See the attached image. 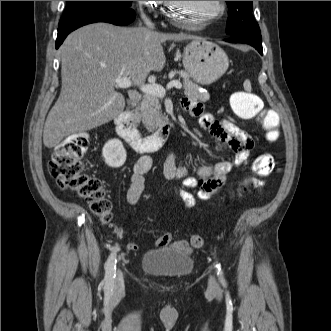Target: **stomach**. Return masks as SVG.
Segmentation results:
<instances>
[{"mask_svg": "<svg viewBox=\"0 0 331 331\" xmlns=\"http://www.w3.org/2000/svg\"><path fill=\"white\" fill-rule=\"evenodd\" d=\"M183 65L190 77L202 85L218 80L229 66L228 56L217 44L197 38L184 48Z\"/></svg>", "mask_w": 331, "mask_h": 331, "instance_id": "1", "label": "stomach"}]
</instances>
